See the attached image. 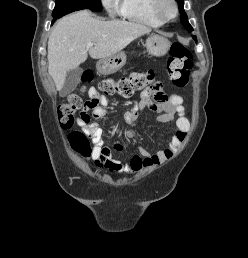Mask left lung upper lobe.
I'll list each match as a JSON object with an SVG mask.
<instances>
[{
  "label": "left lung upper lobe",
  "mask_w": 248,
  "mask_h": 258,
  "mask_svg": "<svg viewBox=\"0 0 248 258\" xmlns=\"http://www.w3.org/2000/svg\"><path fill=\"white\" fill-rule=\"evenodd\" d=\"M179 4V10H180V18H181V22L182 24L184 25V27L189 31H193V28L192 26L189 24L188 22V19H187V16H186V13L184 12V9H183V5H184V2L183 0H176Z\"/></svg>",
  "instance_id": "1"
}]
</instances>
